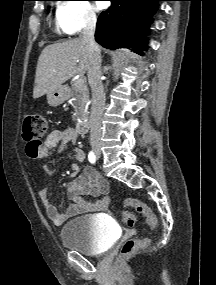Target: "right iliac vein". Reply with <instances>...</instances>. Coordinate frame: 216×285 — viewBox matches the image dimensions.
Here are the masks:
<instances>
[{"instance_id": "1", "label": "right iliac vein", "mask_w": 216, "mask_h": 285, "mask_svg": "<svg viewBox=\"0 0 216 285\" xmlns=\"http://www.w3.org/2000/svg\"><path fill=\"white\" fill-rule=\"evenodd\" d=\"M94 151H95V153H96V155H98V156H100L101 155V151H100V149L99 148H94Z\"/></svg>"}]
</instances>
